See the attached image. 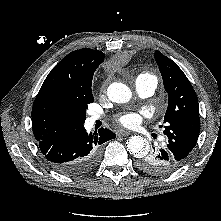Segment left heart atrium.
<instances>
[{
    "label": "left heart atrium",
    "mask_w": 221,
    "mask_h": 221,
    "mask_svg": "<svg viewBox=\"0 0 221 221\" xmlns=\"http://www.w3.org/2000/svg\"><path fill=\"white\" fill-rule=\"evenodd\" d=\"M119 123L126 127H134L139 122V116L136 113L129 112L118 117Z\"/></svg>",
    "instance_id": "left-heart-atrium-1"
}]
</instances>
